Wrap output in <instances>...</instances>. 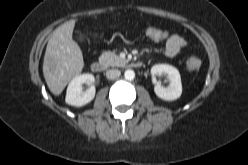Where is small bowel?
Returning <instances> with one entry per match:
<instances>
[{
  "instance_id": "small-bowel-1",
  "label": "small bowel",
  "mask_w": 248,
  "mask_h": 165,
  "mask_svg": "<svg viewBox=\"0 0 248 165\" xmlns=\"http://www.w3.org/2000/svg\"><path fill=\"white\" fill-rule=\"evenodd\" d=\"M145 34L149 37L147 33ZM186 45L184 38L179 35H171L166 40L164 53L169 58L178 57Z\"/></svg>"
}]
</instances>
